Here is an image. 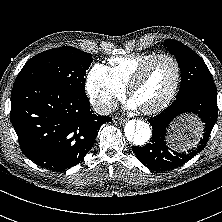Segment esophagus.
Instances as JSON below:
<instances>
[{
  "mask_svg": "<svg viewBox=\"0 0 222 222\" xmlns=\"http://www.w3.org/2000/svg\"><path fill=\"white\" fill-rule=\"evenodd\" d=\"M113 121L118 123V124H123L125 122V119L120 118V117H114Z\"/></svg>",
  "mask_w": 222,
  "mask_h": 222,
  "instance_id": "34e87169",
  "label": "esophagus"
}]
</instances>
